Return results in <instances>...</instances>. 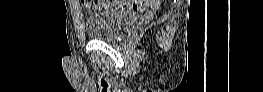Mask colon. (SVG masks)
I'll use <instances>...</instances> for the list:
<instances>
[{
	"instance_id": "colon-1",
	"label": "colon",
	"mask_w": 263,
	"mask_h": 92,
	"mask_svg": "<svg viewBox=\"0 0 263 92\" xmlns=\"http://www.w3.org/2000/svg\"><path fill=\"white\" fill-rule=\"evenodd\" d=\"M146 2H148V1H132V7H133V9H137V8H139V6L143 5ZM95 9H97L96 6L92 7L90 10L94 11Z\"/></svg>"
}]
</instances>
